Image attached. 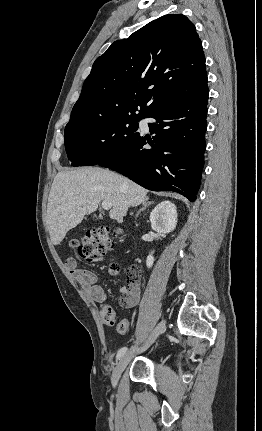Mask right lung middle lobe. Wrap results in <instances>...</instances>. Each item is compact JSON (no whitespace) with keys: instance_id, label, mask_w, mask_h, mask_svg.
<instances>
[{"instance_id":"dd1d6c3e","label":"right lung middle lobe","mask_w":262,"mask_h":431,"mask_svg":"<svg viewBox=\"0 0 262 431\" xmlns=\"http://www.w3.org/2000/svg\"><path fill=\"white\" fill-rule=\"evenodd\" d=\"M142 117L121 116L85 121L65 127V148L71 165H97L120 152L139 134Z\"/></svg>"}]
</instances>
